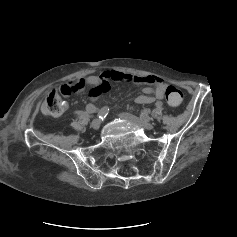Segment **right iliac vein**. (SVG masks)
I'll list each match as a JSON object with an SVG mask.
<instances>
[{"instance_id": "right-iliac-vein-1", "label": "right iliac vein", "mask_w": 237, "mask_h": 237, "mask_svg": "<svg viewBox=\"0 0 237 237\" xmlns=\"http://www.w3.org/2000/svg\"><path fill=\"white\" fill-rule=\"evenodd\" d=\"M100 125H101V121L99 119H94L92 122H91V127L95 130L99 129L100 128Z\"/></svg>"}]
</instances>
